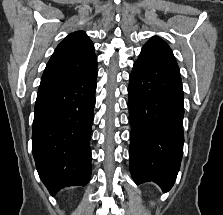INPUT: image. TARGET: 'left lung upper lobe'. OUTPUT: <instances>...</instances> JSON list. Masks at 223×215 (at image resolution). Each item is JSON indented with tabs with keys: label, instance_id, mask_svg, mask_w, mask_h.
I'll use <instances>...</instances> for the list:
<instances>
[{
	"label": "left lung upper lobe",
	"instance_id": "left-lung-upper-lobe-1",
	"mask_svg": "<svg viewBox=\"0 0 223 215\" xmlns=\"http://www.w3.org/2000/svg\"><path fill=\"white\" fill-rule=\"evenodd\" d=\"M137 62L173 71L180 75L179 67L166 42L158 37L151 38L142 48Z\"/></svg>",
	"mask_w": 223,
	"mask_h": 215
}]
</instances>
